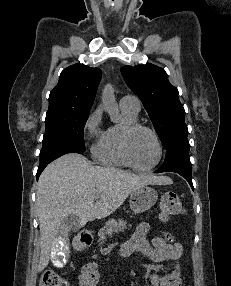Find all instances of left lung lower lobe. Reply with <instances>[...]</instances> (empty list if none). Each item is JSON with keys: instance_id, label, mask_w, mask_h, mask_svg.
<instances>
[{"instance_id": "0a47b994", "label": "left lung lower lobe", "mask_w": 231, "mask_h": 286, "mask_svg": "<svg viewBox=\"0 0 231 286\" xmlns=\"http://www.w3.org/2000/svg\"><path fill=\"white\" fill-rule=\"evenodd\" d=\"M189 142L187 137L178 138L172 141L167 147L165 161L162 167L155 171L161 172H175L183 176L193 188L191 177V163L189 159Z\"/></svg>"}]
</instances>
